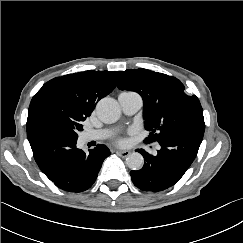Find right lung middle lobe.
<instances>
[{
  "label": "right lung middle lobe",
  "mask_w": 243,
  "mask_h": 243,
  "mask_svg": "<svg viewBox=\"0 0 243 243\" xmlns=\"http://www.w3.org/2000/svg\"><path fill=\"white\" fill-rule=\"evenodd\" d=\"M36 125H49L58 128L74 138L83 130L82 122L87 118L57 97L37 101L31 110Z\"/></svg>",
  "instance_id": "obj_1"
}]
</instances>
